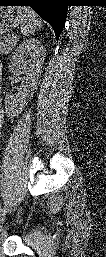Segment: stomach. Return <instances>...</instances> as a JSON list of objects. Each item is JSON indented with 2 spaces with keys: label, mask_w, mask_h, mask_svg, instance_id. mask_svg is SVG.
I'll list each match as a JSON object with an SVG mask.
<instances>
[{
  "label": "stomach",
  "mask_w": 106,
  "mask_h": 257,
  "mask_svg": "<svg viewBox=\"0 0 106 257\" xmlns=\"http://www.w3.org/2000/svg\"><path fill=\"white\" fill-rule=\"evenodd\" d=\"M21 23L16 7H0V33L6 34Z\"/></svg>",
  "instance_id": "obj_1"
}]
</instances>
